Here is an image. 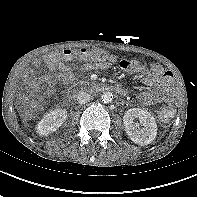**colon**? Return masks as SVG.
<instances>
[{"instance_id": "1", "label": "colon", "mask_w": 197, "mask_h": 197, "mask_svg": "<svg viewBox=\"0 0 197 197\" xmlns=\"http://www.w3.org/2000/svg\"><path fill=\"white\" fill-rule=\"evenodd\" d=\"M74 57L81 60H89L94 62H105L110 59V55L102 49H91L88 50L86 48L79 49L75 52L71 50H64L61 53L54 52L49 56L51 61H71ZM121 66L123 68H128L130 66V62L128 60H123L121 62ZM159 117L162 121H169L173 117V110L168 107H162L159 112Z\"/></svg>"}]
</instances>
